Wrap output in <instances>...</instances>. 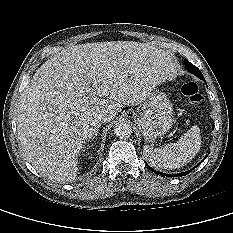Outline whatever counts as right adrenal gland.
<instances>
[{
  "mask_svg": "<svg viewBox=\"0 0 233 233\" xmlns=\"http://www.w3.org/2000/svg\"><path fill=\"white\" fill-rule=\"evenodd\" d=\"M98 134V130L95 132V134L93 135L92 139H94Z\"/></svg>",
  "mask_w": 233,
  "mask_h": 233,
  "instance_id": "obj_1",
  "label": "right adrenal gland"
}]
</instances>
